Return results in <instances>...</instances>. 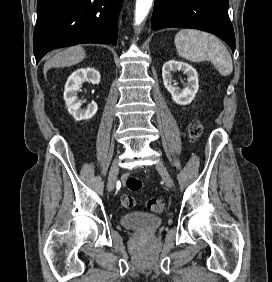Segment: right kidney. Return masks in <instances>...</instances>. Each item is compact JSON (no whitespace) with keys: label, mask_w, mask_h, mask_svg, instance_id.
Wrapping results in <instances>:
<instances>
[{"label":"right kidney","mask_w":272,"mask_h":282,"mask_svg":"<svg viewBox=\"0 0 272 282\" xmlns=\"http://www.w3.org/2000/svg\"><path fill=\"white\" fill-rule=\"evenodd\" d=\"M100 73L94 68H81L74 71L65 84L64 100L68 108V112L76 121L88 120L97 112V104L91 102L87 109L82 110L81 101L78 100L77 92L80 91V86L84 81H89L92 84L100 83Z\"/></svg>","instance_id":"ca27d5eb"}]
</instances>
